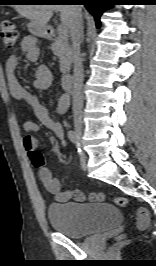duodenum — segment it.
I'll return each mask as SVG.
<instances>
[{
  "label": "duodenum",
  "instance_id": "1",
  "mask_svg": "<svg viewBox=\"0 0 156 266\" xmlns=\"http://www.w3.org/2000/svg\"><path fill=\"white\" fill-rule=\"evenodd\" d=\"M55 36V32L51 28H47L45 31V37L48 39H52ZM62 86L63 88L69 92L72 89L73 85V76L70 73H66L62 76Z\"/></svg>",
  "mask_w": 156,
  "mask_h": 266
}]
</instances>
